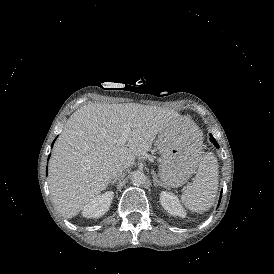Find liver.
I'll return each instance as SVG.
<instances>
[{"label": "liver", "instance_id": "obj_1", "mask_svg": "<svg viewBox=\"0 0 274 274\" xmlns=\"http://www.w3.org/2000/svg\"><path fill=\"white\" fill-rule=\"evenodd\" d=\"M184 119L190 121L168 108L138 103L82 106L67 120L52 152L48 183L53 202L65 217L76 216L116 178L118 165H133L157 134L170 136ZM128 125L126 144H117Z\"/></svg>", "mask_w": 274, "mask_h": 274}]
</instances>
